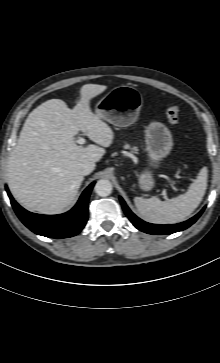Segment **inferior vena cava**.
I'll list each match as a JSON object with an SVG mask.
<instances>
[{
	"label": "inferior vena cava",
	"instance_id": "inferior-vena-cava-1",
	"mask_svg": "<svg viewBox=\"0 0 220 363\" xmlns=\"http://www.w3.org/2000/svg\"><path fill=\"white\" fill-rule=\"evenodd\" d=\"M95 169V163L91 161H86L81 165V173L83 175L90 174Z\"/></svg>",
	"mask_w": 220,
	"mask_h": 363
}]
</instances>
